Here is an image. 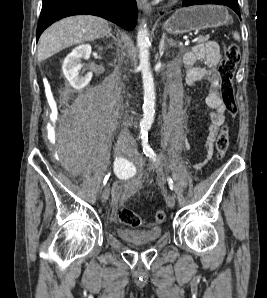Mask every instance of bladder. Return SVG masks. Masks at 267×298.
I'll return each instance as SVG.
<instances>
[{"label": "bladder", "instance_id": "obj_1", "mask_svg": "<svg viewBox=\"0 0 267 298\" xmlns=\"http://www.w3.org/2000/svg\"><path fill=\"white\" fill-rule=\"evenodd\" d=\"M162 234L160 227H153L147 230H134L130 228H120L117 231L118 237L129 244L142 246L157 241Z\"/></svg>", "mask_w": 267, "mask_h": 298}]
</instances>
